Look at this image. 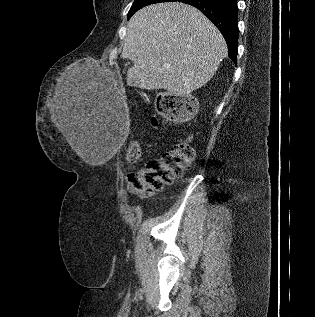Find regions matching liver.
Returning a JSON list of instances; mask_svg holds the SVG:
<instances>
[{"label":"liver","mask_w":315,"mask_h":317,"mask_svg":"<svg viewBox=\"0 0 315 317\" xmlns=\"http://www.w3.org/2000/svg\"><path fill=\"white\" fill-rule=\"evenodd\" d=\"M226 42L196 8L180 2L159 3L137 11L127 25L122 59L134 65L127 85L165 89L180 97L204 86L227 56ZM51 120L76 153L84 157L83 123L71 88L55 91Z\"/></svg>","instance_id":"obj_1"}]
</instances>
